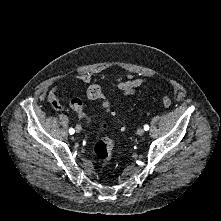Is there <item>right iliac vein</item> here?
<instances>
[{
    "instance_id": "63e3f726",
    "label": "right iliac vein",
    "mask_w": 221,
    "mask_h": 221,
    "mask_svg": "<svg viewBox=\"0 0 221 221\" xmlns=\"http://www.w3.org/2000/svg\"><path fill=\"white\" fill-rule=\"evenodd\" d=\"M75 129H76V132L79 133L81 131V126L80 125H76Z\"/></svg>"
}]
</instances>
